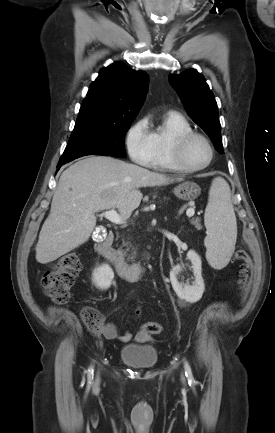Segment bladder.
I'll list each match as a JSON object with an SVG mask.
<instances>
[{
  "label": "bladder",
  "instance_id": "bladder-1",
  "mask_svg": "<svg viewBox=\"0 0 275 433\" xmlns=\"http://www.w3.org/2000/svg\"><path fill=\"white\" fill-rule=\"evenodd\" d=\"M120 360L132 367L150 368L156 365L158 353L154 346L145 344H127L119 353Z\"/></svg>",
  "mask_w": 275,
  "mask_h": 433
}]
</instances>
